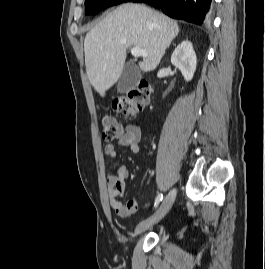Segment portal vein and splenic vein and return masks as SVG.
I'll use <instances>...</instances> for the list:
<instances>
[{"label": "portal vein and splenic vein", "instance_id": "portal-vein-and-splenic-vein-1", "mask_svg": "<svg viewBox=\"0 0 265 269\" xmlns=\"http://www.w3.org/2000/svg\"><path fill=\"white\" fill-rule=\"evenodd\" d=\"M131 54H132L133 56H135V57H139V56H141V57H143V58H145V57L148 56V53H147L144 49H141L140 47H133V48L131 49Z\"/></svg>", "mask_w": 265, "mask_h": 269}]
</instances>
